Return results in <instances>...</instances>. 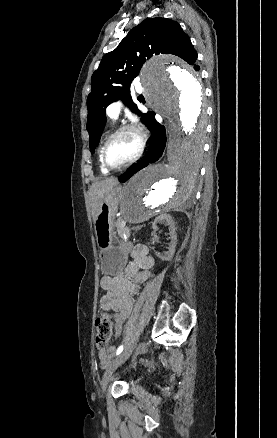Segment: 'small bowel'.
I'll return each instance as SVG.
<instances>
[{"mask_svg":"<svg viewBox=\"0 0 277 438\" xmlns=\"http://www.w3.org/2000/svg\"><path fill=\"white\" fill-rule=\"evenodd\" d=\"M131 257L132 261L127 264L123 274L107 275L100 281V286L105 291L100 300V308L105 312L114 313L115 336L122 333L124 323L132 313V295L138 291L142 282L152 276L149 269L153 266L154 260L146 246H134L131 250ZM115 353L114 347L99 350L100 366L106 368Z\"/></svg>","mask_w":277,"mask_h":438,"instance_id":"small-bowel-1","label":"small bowel"}]
</instances>
